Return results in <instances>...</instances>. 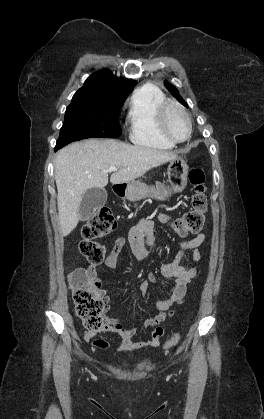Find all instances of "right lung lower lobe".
I'll return each mask as SVG.
<instances>
[{
    "label": "right lung lower lobe",
    "mask_w": 264,
    "mask_h": 419,
    "mask_svg": "<svg viewBox=\"0 0 264 419\" xmlns=\"http://www.w3.org/2000/svg\"><path fill=\"white\" fill-rule=\"evenodd\" d=\"M58 149H60V148H56V147H55V151H57Z\"/></svg>",
    "instance_id": "98d812e1"
}]
</instances>
